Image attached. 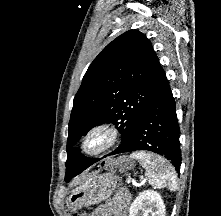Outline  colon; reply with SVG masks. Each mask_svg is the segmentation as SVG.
<instances>
[{
    "instance_id": "colon-1",
    "label": "colon",
    "mask_w": 221,
    "mask_h": 216,
    "mask_svg": "<svg viewBox=\"0 0 221 216\" xmlns=\"http://www.w3.org/2000/svg\"><path fill=\"white\" fill-rule=\"evenodd\" d=\"M108 167L117 166L121 169H130L132 167V161L128 158H123L117 161L110 162ZM73 216H88L85 212L75 213Z\"/></svg>"
}]
</instances>
